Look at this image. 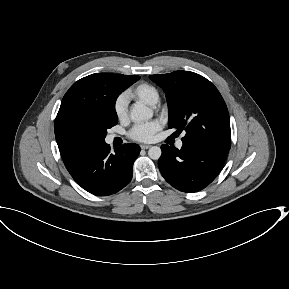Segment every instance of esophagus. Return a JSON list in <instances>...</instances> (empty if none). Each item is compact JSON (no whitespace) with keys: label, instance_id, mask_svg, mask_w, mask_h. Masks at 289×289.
Masks as SVG:
<instances>
[{"label":"esophagus","instance_id":"1","mask_svg":"<svg viewBox=\"0 0 289 289\" xmlns=\"http://www.w3.org/2000/svg\"><path fill=\"white\" fill-rule=\"evenodd\" d=\"M140 147H141V149H149V148L151 147V145H145V144H143V145H141Z\"/></svg>","mask_w":289,"mask_h":289}]
</instances>
